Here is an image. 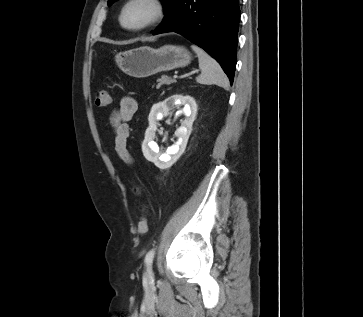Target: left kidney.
Listing matches in <instances>:
<instances>
[{"mask_svg": "<svg viewBox=\"0 0 363 317\" xmlns=\"http://www.w3.org/2000/svg\"><path fill=\"white\" fill-rule=\"evenodd\" d=\"M179 104L184 105L183 111L180 112H184L186 118L181 122V126L175 131V136L178 138V141L175 145L169 147L166 153L161 154L157 143L153 141L157 130V122L164 116H167L174 105ZM196 114L197 104L194 98L189 95H173L163 102L154 104L148 117L149 127L145 132V139L142 144L144 157L161 169L171 167L186 149Z\"/></svg>", "mask_w": 363, "mask_h": 317, "instance_id": "5707ae66", "label": "left kidney"}]
</instances>
